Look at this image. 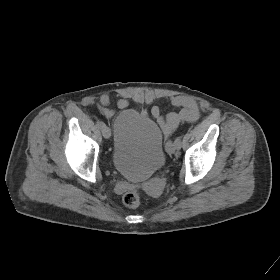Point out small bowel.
<instances>
[{"mask_svg": "<svg viewBox=\"0 0 280 280\" xmlns=\"http://www.w3.org/2000/svg\"><path fill=\"white\" fill-rule=\"evenodd\" d=\"M110 95L105 93L100 96L99 109L106 117H112L114 110L110 108ZM173 106L178 107L179 111L171 112L166 116L161 114L160 108L154 106L151 110L153 117L159 123L165 136H170L181 122H195L200 117V110L197 102L187 96L178 95L171 99ZM120 109L128 107L129 103L126 99H120L117 103Z\"/></svg>", "mask_w": 280, "mask_h": 280, "instance_id": "small-bowel-1", "label": "small bowel"}]
</instances>
